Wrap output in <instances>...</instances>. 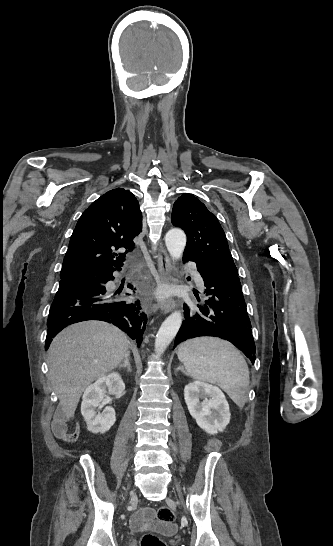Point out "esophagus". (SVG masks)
Returning a JSON list of instances; mask_svg holds the SVG:
<instances>
[{
  "label": "esophagus",
  "instance_id": "34e87169",
  "mask_svg": "<svg viewBox=\"0 0 333 546\" xmlns=\"http://www.w3.org/2000/svg\"><path fill=\"white\" fill-rule=\"evenodd\" d=\"M158 271L160 274L161 282L164 284H170L173 282V268L171 265V261L169 259V256L167 254V251L165 248L161 245L158 251V254L156 256ZM142 304L144 307H149L150 311L155 310V306H150L148 303L147 296H142ZM176 306V301L172 298H169L161 303L160 308L164 313H168L172 311Z\"/></svg>",
  "mask_w": 333,
  "mask_h": 546
}]
</instances>
